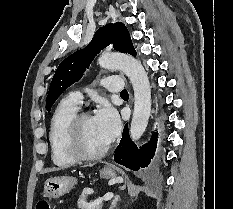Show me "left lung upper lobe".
<instances>
[{
    "mask_svg": "<svg viewBox=\"0 0 233 209\" xmlns=\"http://www.w3.org/2000/svg\"><path fill=\"white\" fill-rule=\"evenodd\" d=\"M111 43L115 50L136 56L129 32L123 23L107 24L98 29L85 49L74 52L58 66L46 99L48 111L66 88L80 80L94 57Z\"/></svg>",
    "mask_w": 233,
    "mask_h": 209,
    "instance_id": "1",
    "label": "left lung upper lobe"
}]
</instances>
